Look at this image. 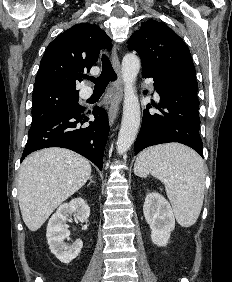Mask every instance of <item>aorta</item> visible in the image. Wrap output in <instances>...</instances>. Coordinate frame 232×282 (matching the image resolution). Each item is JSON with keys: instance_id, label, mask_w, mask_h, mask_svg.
Masks as SVG:
<instances>
[{"instance_id": "obj_1", "label": "aorta", "mask_w": 232, "mask_h": 282, "mask_svg": "<svg viewBox=\"0 0 232 282\" xmlns=\"http://www.w3.org/2000/svg\"><path fill=\"white\" fill-rule=\"evenodd\" d=\"M124 85L123 117L117 140L118 154H124L133 144L140 126V105L136 95L135 81L140 70V59L128 53L122 60Z\"/></svg>"}]
</instances>
